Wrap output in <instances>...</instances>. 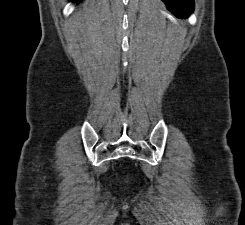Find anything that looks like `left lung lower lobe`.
Wrapping results in <instances>:
<instances>
[{"mask_svg":"<svg viewBox=\"0 0 245 225\" xmlns=\"http://www.w3.org/2000/svg\"><path fill=\"white\" fill-rule=\"evenodd\" d=\"M168 9L178 17H186L193 12L194 0H163Z\"/></svg>","mask_w":245,"mask_h":225,"instance_id":"1","label":"left lung lower lobe"}]
</instances>
